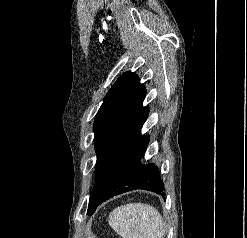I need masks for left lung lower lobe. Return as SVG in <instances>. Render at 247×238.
I'll return each instance as SVG.
<instances>
[{
	"instance_id": "obj_1",
	"label": "left lung lower lobe",
	"mask_w": 247,
	"mask_h": 238,
	"mask_svg": "<svg viewBox=\"0 0 247 238\" xmlns=\"http://www.w3.org/2000/svg\"><path fill=\"white\" fill-rule=\"evenodd\" d=\"M143 124L106 169L98 186L97 206L115 195L136 189L164 196V184L157 167L140 163L149 143V137L141 136Z\"/></svg>"
}]
</instances>
